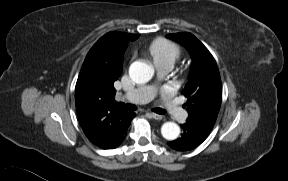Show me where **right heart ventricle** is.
Segmentation results:
<instances>
[{
    "instance_id": "1",
    "label": "right heart ventricle",
    "mask_w": 288,
    "mask_h": 181,
    "mask_svg": "<svg viewBox=\"0 0 288 181\" xmlns=\"http://www.w3.org/2000/svg\"><path fill=\"white\" fill-rule=\"evenodd\" d=\"M148 52L151 55L154 64L159 62H169L173 65L181 56L180 48L173 42L163 38L154 40L150 44Z\"/></svg>"
}]
</instances>
